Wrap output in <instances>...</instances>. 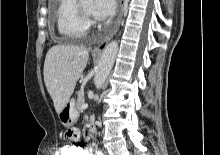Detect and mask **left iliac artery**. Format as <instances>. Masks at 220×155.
I'll return each mask as SVG.
<instances>
[{
	"label": "left iliac artery",
	"instance_id": "1",
	"mask_svg": "<svg viewBox=\"0 0 220 155\" xmlns=\"http://www.w3.org/2000/svg\"><path fill=\"white\" fill-rule=\"evenodd\" d=\"M96 155H103V153L101 151H97Z\"/></svg>",
	"mask_w": 220,
	"mask_h": 155
}]
</instances>
